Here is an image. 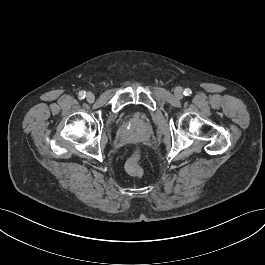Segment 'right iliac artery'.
<instances>
[{
    "instance_id": "1",
    "label": "right iliac artery",
    "mask_w": 265,
    "mask_h": 265,
    "mask_svg": "<svg viewBox=\"0 0 265 265\" xmlns=\"http://www.w3.org/2000/svg\"><path fill=\"white\" fill-rule=\"evenodd\" d=\"M86 97V93H85V91H80L79 92V98L80 99H84Z\"/></svg>"
}]
</instances>
